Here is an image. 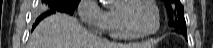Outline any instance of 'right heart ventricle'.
I'll list each match as a JSON object with an SVG mask.
<instances>
[{
	"label": "right heart ventricle",
	"mask_w": 213,
	"mask_h": 48,
	"mask_svg": "<svg viewBox=\"0 0 213 48\" xmlns=\"http://www.w3.org/2000/svg\"><path fill=\"white\" fill-rule=\"evenodd\" d=\"M106 28L105 32L114 39L118 40H133L137 37L130 35L122 26L118 12L117 6L109 9L107 12Z\"/></svg>",
	"instance_id": "1"
}]
</instances>
